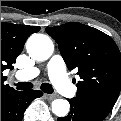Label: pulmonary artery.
Returning a JSON list of instances; mask_svg holds the SVG:
<instances>
[{"mask_svg": "<svg viewBox=\"0 0 121 121\" xmlns=\"http://www.w3.org/2000/svg\"><path fill=\"white\" fill-rule=\"evenodd\" d=\"M40 73L38 67H32L20 70L16 76L22 80H30ZM48 75L50 80L55 84L56 88L67 96H74L75 88L67 79L64 73V66L62 58L59 56L52 57L48 62Z\"/></svg>", "mask_w": 121, "mask_h": 121, "instance_id": "e3ab8cb5", "label": "pulmonary artery"}]
</instances>
